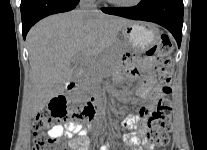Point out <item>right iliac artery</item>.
<instances>
[{"label":"right iliac artery","instance_id":"1","mask_svg":"<svg viewBox=\"0 0 207 150\" xmlns=\"http://www.w3.org/2000/svg\"><path fill=\"white\" fill-rule=\"evenodd\" d=\"M100 150H108L107 146H102Z\"/></svg>","mask_w":207,"mask_h":150}]
</instances>
